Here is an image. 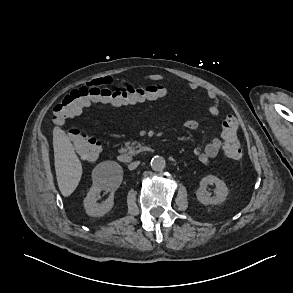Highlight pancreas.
Wrapping results in <instances>:
<instances>
[{
	"mask_svg": "<svg viewBox=\"0 0 293 293\" xmlns=\"http://www.w3.org/2000/svg\"><path fill=\"white\" fill-rule=\"evenodd\" d=\"M134 144L135 143H129V142L125 143V148H121V151H123V152L128 151L131 154L138 153L139 150H136V149L140 147V144H138L137 146L133 147Z\"/></svg>",
	"mask_w": 293,
	"mask_h": 293,
	"instance_id": "1",
	"label": "pancreas"
}]
</instances>
